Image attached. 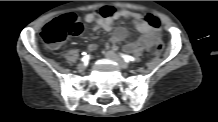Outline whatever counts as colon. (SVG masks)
<instances>
[{
    "mask_svg": "<svg viewBox=\"0 0 218 122\" xmlns=\"http://www.w3.org/2000/svg\"><path fill=\"white\" fill-rule=\"evenodd\" d=\"M146 20L153 27H160L159 19L152 14ZM83 31V25L75 14L68 13L52 19L42 31V39L50 48H57L68 36H77ZM163 45L160 41L155 44V52L161 53Z\"/></svg>",
    "mask_w": 218,
    "mask_h": 122,
    "instance_id": "obj_1",
    "label": "colon"
}]
</instances>
